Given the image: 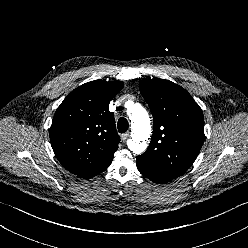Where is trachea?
I'll use <instances>...</instances> for the list:
<instances>
[{
	"label": "trachea",
	"mask_w": 248,
	"mask_h": 248,
	"mask_svg": "<svg viewBox=\"0 0 248 248\" xmlns=\"http://www.w3.org/2000/svg\"><path fill=\"white\" fill-rule=\"evenodd\" d=\"M119 133H125L128 130L129 123L126 118H120L117 123Z\"/></svg>",
	"instance_id": "3493384b"
}]
</instances>
